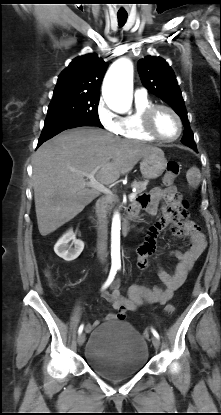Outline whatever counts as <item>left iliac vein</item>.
<instances>
[{
  "instance_id": "obj_1",
  "label": "left iliac vein",
  "mask_w": 221,
  "mask_h": 415,
  "mask_svg": "<svg viewBox=\"0 0 221 415\" xmlns=\"http://www.w3.org/2000/svg\"><path fill=\"white\" fill-rule=\"evenodd\" d=\"M152 343H153V345L156 349H158L160 347V340H159V338H157L155 336L152 337Z\"/></svg>"
}]
</instances>
